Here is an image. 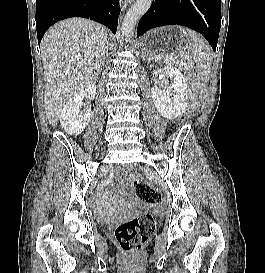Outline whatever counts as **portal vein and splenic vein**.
<instances>
[{"instance_id": "1", "label": "portal vein and splenic vein", "mask_w": 265, "mask_h": 273, "mask_svg": "<svg viewBox=\"0 0 265 273\" xmlns=\"http://www.w3.org/2000/svg\"><path fill=\"white\" fill-rule=\"evenodd\" d=\"M161 58H164V59H166V60H168V61H170V62H171V61H174L173 57H171V56H161L160 59H161Z\"/></svg>"}]
</instances>
